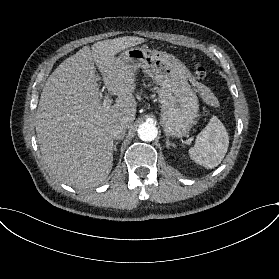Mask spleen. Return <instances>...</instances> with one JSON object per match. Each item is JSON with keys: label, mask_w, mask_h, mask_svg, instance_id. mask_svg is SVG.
Here are the masks:
<instances>
[{"label": "spleen", "mask_w": 279, "mask_h": 279, "mask_svg": "<svg viewBox=\"0 0 279 279\" xmlns=\"http://www.w3.org/2000/svg\"><path fill=\"white\" fill-rule=\"evenodd\" d=\"M200 97L206 105L215 109L220 108L218 99L209 88L203 87ZM228 146L229 136L226 129L214 116L196 136L194 146L189 149V156L197 165L212 169L221 163L227 153Z\"/></svg>", "instance_id": "3e777b00"}]
</instances>
